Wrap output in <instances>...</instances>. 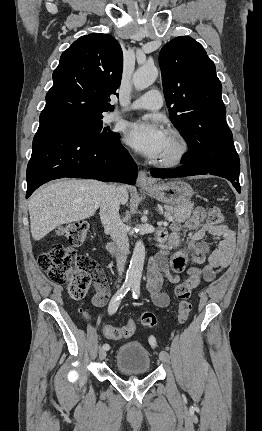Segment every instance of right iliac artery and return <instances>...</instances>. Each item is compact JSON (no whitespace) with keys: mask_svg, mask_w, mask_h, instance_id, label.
<instances>
[{"mask_svg":"<svg viewBox=\"0 0 262 431\" xmlns=\"http://www.w3.org/2000/svg\"><path fill=\"white\" fill-rule=\"evenodd\" d=\"M132 285L133 283L129 281H125L123 283L121 288L116 292V294L112 297L109 303V307H108L109 314H114L117 311L121 299L127 294V292L130 290ZM103 349L109 350L110 346L108 344H104Z\"/></svg>","mask_w":262,"mask_h":431,"instance_id":"1","label":"right iliac artery"}]
</instances>
